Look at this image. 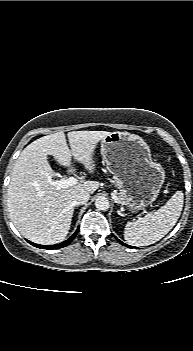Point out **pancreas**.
<instances>
[{
  "mask_svg": "<svg viewBox=\"0 0 193 351\" xmlns=\"http://www.w3.org/2000/svg\"><path fill=\"white\" fill-rule=\"evenodd\" d=\"M119 189H121L120 183L116 182L115 180L112 181ZM116 196L121 204H125L126 200V193L125 190L121 189L120 192L116 193Z\"/></svg>",
  "mask_w": 193,
  "mask_h": 351,
  "instance_id": "obj_1",
  "label": "pancreas"
}]
</instances>
